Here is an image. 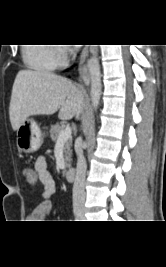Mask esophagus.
Listing matches in <instances>:
<instances>
[{"label":"esophagus","mask_w":166,"mask_h":267,"mask_svg":"<svg viewBox=\"0 0 166 267\" xmlns=\"http://www.w3.org/2000/svg\"><path fill=\"white\" fill-rule=\"evenodd\" d=\"M88 54V48L85 47L81 53V57H80V64H83L85 59H86V56ZM80 81L81 83L83 82H88L89 81V76L87 74V69L86 68H82L80 70Z\"/></svg>","instance_id":"1"}]
</instances>
